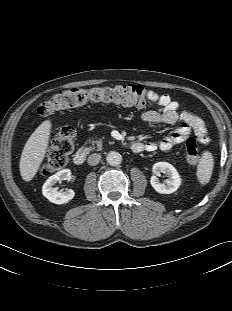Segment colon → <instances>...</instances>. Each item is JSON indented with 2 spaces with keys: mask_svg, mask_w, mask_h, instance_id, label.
<instances>
[{
  "mask_svg": "<svg viewBox=\"0 0 232 311\" xmlns=\"http://www.w3.org/2000/svg\"><path fill=\"white\" fill-rule=\"evenodd\" d=\"M87 103H114L127 107L145 108L149 104L147 92L138 85H119L115 87L72 88L58 92L44 101L38 113L48 116L56 111L82 106ZM75 130L71 126L58 129L53 143L41 166L43 174L63 168L74 150ZM186 160L191 166L199 161V146L194 137L185 143Z\"/></svg>",
  "mask_w": 232,
  "mask_h": 311,
  "instance_id": "5ec220e1",
  "label": "colon"
}]
</instances>
